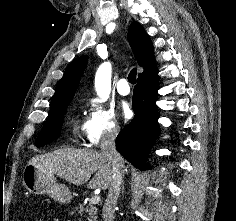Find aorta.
Masks as SVG:
<instances>
[{"label":"aorta","mask_w":236,"mask_h":221,"mask_svg":"<svg viewBox=\"0 0 236 221\" xmlns=\"http://www.w3.org/2000/svg\"><path fill=\"white\" fill-rule=\"evenodd\" d=\"M111 90V64L106 62L102 65V78L99 88H97L98 94L105 101L109 97Z\"/></svg>","instance_id":"aorta-1"}]
</instances>
